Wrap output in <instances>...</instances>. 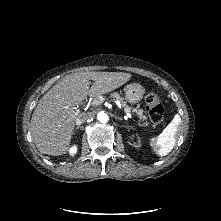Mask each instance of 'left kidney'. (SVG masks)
Listing matches in <instances>:
<instances>
[{
	"label": "left kidney",
	"mask_w": 221,
	"mask_h": 221,
	"mask_svg": "<svg viewBox=\"0 0 221 221\" xmlns=\"http://www.w3.org/2000/svg\"><path fill=\"white\" fill-rule=\"evenodd\" d=\"M131 145L134 146V147H136V148L140 147V146H141L140 140H138L137 143H133V144H131Z\"/></svg>",
	"instance_id": "left-kidney-1"
}]
</instances>
